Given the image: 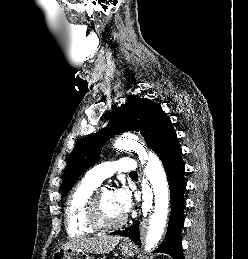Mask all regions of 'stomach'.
Here are the masks:
<instances>
[{"label":"stomach","instance_id":"0dacf381","mask_svg":"<svg viewBox=\"0 0 248 259\" xmlns=\"http://www.w3.org/2000/svg\"><path fill=\"white\" fill-rule=\"evenodd\" d=\"M120 250L124 256L131 257L134 255L132 246L121 245ZM52 259H93L88 253L76 251L72 248L57 250Z\"/></svg>","mask_w":248,"mask_h":259}]
</instances>
